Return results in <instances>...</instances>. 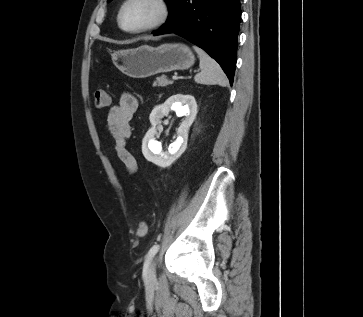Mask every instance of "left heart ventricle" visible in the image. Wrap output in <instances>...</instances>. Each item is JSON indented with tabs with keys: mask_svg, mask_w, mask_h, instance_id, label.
Masks as SVG:
<instances>
[{
	"mask_svg": "<svg viewBox=\"0 0 363 317\" xmlns=\"http://www.w3.org/2000/svg\"><path fill=\"white\" fill-rule=\"evenodd\" d=\"M158 14V7L151 0H133L124 10L122 24L134 29L151 22Z\"/></svg>",
	"mask_w": 363,
	"mask_h": 317,
	"instance_id": "1",
	"label": "left heart ventricle"
}]
</instances>
